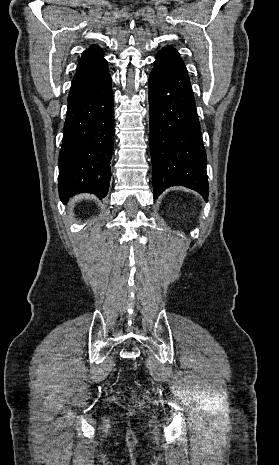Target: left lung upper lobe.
<instances>
[{
	"mask_svg": "<svg viewBox=\"0 0 279 465\" xmlns=\"http://www.w3.org/2000/svg\"><path fill=\"white\" fill-rule=\"evenodd\" d=\"M158 53H171L179 56V53L171 46H167V48L160 50Z\"/></svg>",
	"mask_w": 279,
	"mask_h": 465,
	"instance_id": "5c2ea615",
	"label": "left lung upper lobe"
}]
</instances>
